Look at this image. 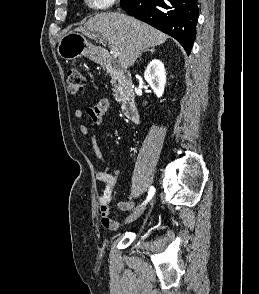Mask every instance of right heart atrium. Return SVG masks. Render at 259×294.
I'll list each match as a JSON object with an SVG mask.
<instances>
[{"mask_svg":"<svg viewBox=\"0 0 259 294\" xmlns=\"http://www.w3.org/2000/svg\"><path fill=\"white\" fill-rule=\"evenodd\" d=\"M115 0H86L89 8L93 10H104L109 8Z\"/></svg>","mask_w":259,"mask_h":294,"instance_id":"right-heart-atrium-1","label":"right heart atrium"}]
</instances>
